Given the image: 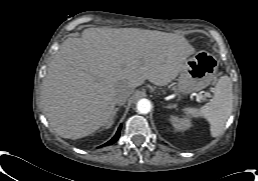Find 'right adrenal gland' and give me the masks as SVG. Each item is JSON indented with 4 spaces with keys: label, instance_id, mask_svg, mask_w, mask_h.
Returning <instances> with one entry per match:
<instances>
[{
    "label": "right adrenal gland",
    "instance_id": "right-adrenal-gland-1",
    "mask_svg": "<svg viewBox=\"0 0 258 181\" xmlns=\"http://www.w3.org/2000/svg\"><path fill=\"white\" fill-rule=\"evenodd\" d=\"M118 111H119V108H116L115 111H114V116L112 117L110 122L104 127V129H108V128H110L113 125L114 120H115V116H116Z\"/></svg>",
    "mask_w": 258,
    "mask_h": 181
}]
</instances>
